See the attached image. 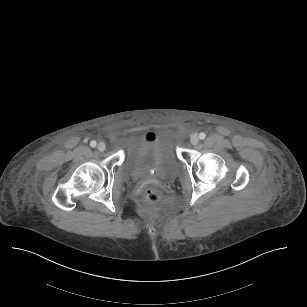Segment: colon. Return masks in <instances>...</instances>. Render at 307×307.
I'll return each instance as SVG.
<instances>
[{
  "label": "colon",
  "mask_w": 307,
  "mask_h": 307,
  "mask_svg": "<svg viewBox=\"0 0 307 307\" xmlns=\"http://www.w3.org/2000/svg\"><path fill=\"white\" fill-rule=\"evenodd\" d=\"M156 134L154 132H148L145 135V139L148 141H154L156 139ZM162 198V191L160 188L155 186H148L145 188L142 194V201L146 205H153L160 201Z\"/></svg>",
  "instance_id": "colon-1"
}]
</instances>
